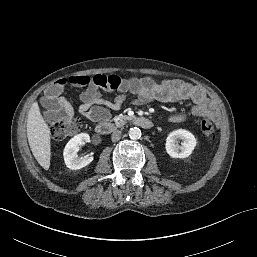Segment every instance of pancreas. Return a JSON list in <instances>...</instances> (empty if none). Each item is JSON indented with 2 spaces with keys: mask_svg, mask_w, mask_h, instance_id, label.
<instances>
[{
  "mask_svg": "<svg viewBox=\"0 0 257 257\" xmlns=\"http://www.w3.org/2000/svg\"><path fill=\"white\" fill-rule=\"evenodd\" d=\"M129 119V117L127 115H117L113 118L116 126H121L123 125L127 120Z\"/></svg>",
  "mask_w": 257,
  "mask_h": 257,
  "instance_id": "obj_1",
  "label": "pancreas"
}]
</instances>
